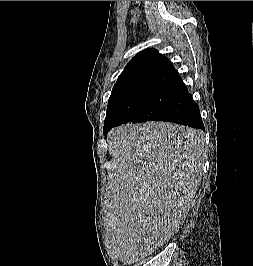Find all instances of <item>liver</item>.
Returning a JSON list of instances; mask_svg holds the SVG:
<instances>
[{"label":"liver","mask_w":253,"mask_h":266,"mask_svg":"<svg viewBox=\"0 0 253 266\" xmlns=\"http://www.w3.org/2000/svg\"><path fill=\"white\" fill-rule=\"evenodd\" d=\"M116 160L106 203L112 252L134 263L178 232L202 179L201 131L167 122L126 124L108 134Z\"/></svg>","instance_id":"6515ba94"}]
</instances>
